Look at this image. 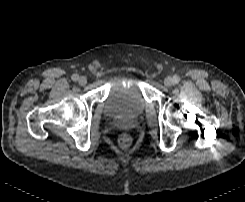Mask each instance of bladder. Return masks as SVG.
Returning a JSON list of instances; mask_svg holds the SVG:
<instances>
[{"label":"bladder","instance_id":"31cf9c89","mask_svg":"<svg viewBox=\"0 0 245 202\" xmlns=\"http://www.w3.org/2000/svg\"><path fill=\"white\" fill-rule=\"evenodd\" d=\"M145 108L146 100L138 76L132 73L114 75L103 104L104 116L108 119H132L141 115Z\"/></svg>","mask_w":245,"mask_h":202}]
</instances>
